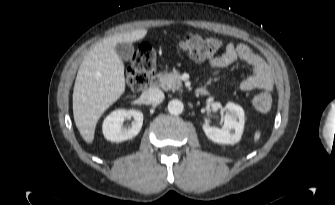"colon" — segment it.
<instances>
[{"label": "colon", "instance_id": "1", "mask_svg": "<svg viewBox=\"0 0 335 205\" xmlns=\"http://www.w3.org/2000/svg\"><path fill=\"white\" fill-rule=\"evenodd\" d=\"M182 48L192 58L205 60L212 58L221 48L222 41L216 38L192 35L182 41ZM156 66V53L148 44H142L134 54L131 68L127 75V83L134 91L147 87ZM271 96L261 92L254 98V105L261 111H266L271 106Z\"/></svg>", "mask_w": 335, "mask_h": 205}]
</instances>
